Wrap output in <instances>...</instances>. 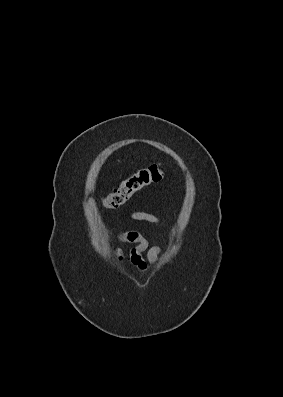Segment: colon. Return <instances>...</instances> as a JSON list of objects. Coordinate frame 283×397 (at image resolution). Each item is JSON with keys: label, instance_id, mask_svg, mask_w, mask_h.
Returning <instances> with one entry per match:
<instances>
[{"label": "colon", "instance_id": "5ec220e1", "mask_svg": "<svg viewBox=\"0 0 283 397\" xmlns=\"http://www.w3.org/2000/svg\"><path fill=\"white\" fill-rule=\"evenodd\" d=\"M165 177L161 165L153 164L141 168L124 179L119 186L103 198L107 208H117L126 203L134 194L145 187L159 183Z\"/></svg>", "mask_w": 283, "mask_h": 397}]
</instances>
